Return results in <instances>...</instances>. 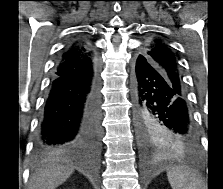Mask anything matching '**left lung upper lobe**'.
<instances>
[{
    "label": "left lung upper lobe",
    "mask_w": 223,
    "mask_h": 189,
    "mask_svg": "<svg viewBox=\"0 0 223 189\" xmlns=\"http://www.w3.org/2000/svg\"><path fill=\"white\" fill-rule=\"evenodd\" d=\"M137 60L150 63L184 91L179 66L174 53L163 41L159 39L147 41ZM139 135L145 145L161 148H190L181 144L174 134L159 125L149 126L148 129L139 131Z\"/></svg>",
    "instance_id": "obj_1"
}]
</instances>
